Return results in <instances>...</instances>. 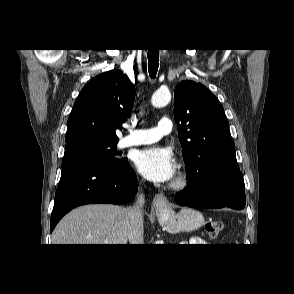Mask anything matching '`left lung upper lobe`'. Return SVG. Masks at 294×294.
Listing matches in <instances>:
<instances>
[{
	"mask_svg": "<svg viewBox=\"0 0 294 294\" xmlns=\"http://www.w3.org/2000/svg\"><path fill=\"white\" fill-rule=\"evenodd\" d=\"M174 118L189 182L211 172L240 171L223 106L204 85L181 81L174 93Z\"/></svg>",
	"mask_w": 294,
	"mask_h": 294,
	"instance_id": "obj_1",
	"label": "left lung upper lobe"
}]
</instances>
